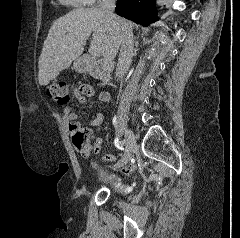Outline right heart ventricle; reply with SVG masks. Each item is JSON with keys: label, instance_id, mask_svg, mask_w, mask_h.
<instances>
[{"label": "right heart ventricle", "instance_id": "obj_1", "mask_svg": "<svg viewBox=\"0 0 240 238\" xmlns=\"http://www.w3.org/2000/svg\"><path fill=\"white\" fill-rule=\"evenodd\" d=\"M59 1L64 5L74 8H80L89 5V2L87 0H59Z\"/></svg>", "mask_w": 240, "mask_h": 238}]
</instances>
